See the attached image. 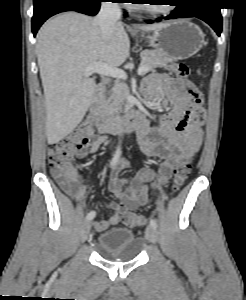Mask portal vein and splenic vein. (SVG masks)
Instances as JSON below:
<instances>
[{
  "label": "portal vein and splenic vein",
  "instance_id": "18ae733b",
  "mask_svg": "<svg viewBox=\"0 0 246 300\" xmlns=\"http://www.w3.org/2000/svg\"><path fill=\"white\" fill-rule=\"evenodd\" d=\"M93 73H98L100 75L109 76L113 78H118L122 80L127 79V74L125 71L118 69L117 67H113L104 63H94L88 65L84 70L85 76H90ZM138 75H143L147 73V67L145 65H140L137 70Z\"/></svg>",
  "mask_w": 246,
  "mask_h": 300
}]
</instances>
